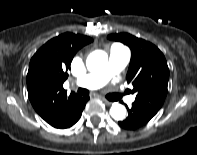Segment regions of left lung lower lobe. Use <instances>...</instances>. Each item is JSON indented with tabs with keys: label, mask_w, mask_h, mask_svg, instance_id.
I'll return each mask as SVG.
<instances>
[{
	"label": "left lung lower lobe",
	"mask_w": 197,
	"mask_h": 155,
	"mask_svg": "<svg viewBox=\"0 0 197 155\" xmlns=\"http://www.w3.org/2000/svg\"><path fill=\"white\" fill-rule=\"evenodd\" d=\"M127 110L128 117L119 121L118 124L128 130H134L145 125L154 116L135 103L132 104L131 108L127 107Z\"/></svg>",
	"instance_id": "0a47b994"
}]
</instances>
